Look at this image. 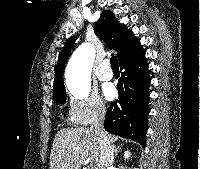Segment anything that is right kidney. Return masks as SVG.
I'll return each instance as SVG.
<instances>
[{"label":"right kidney","mask_w":200,"mask_h":169,"mask_svg":"<svg viewBox=\"0 0 200 169\" xmlns=\"http://www.w3.org/2000/svg\"><path fill=\"white\" fill-rule=\"evenodd\" d=\"M129 157H130V152H129V151H126V152L124 153V158L127 159V158H129Z\"/></svg>","instance_id":"ca27d5eb"}]
</instances>
